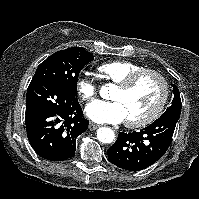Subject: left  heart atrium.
Here are the masks:
<instances>
[{"label":"left heart atrium","instance_id":"1","mask_svg":"<svg viewBox=\"0 0 199 199\" xmlns=\"http://www.w3.org/2000/svg\"><path fill=\"white\" fill-rule=\"evenodd\" d=\"M86 115L94 122L117 124L126 119V111L121 102L97 100L85 109Z\"/></svg>","mask_w":199,"mask_h":199}]
</instances>
